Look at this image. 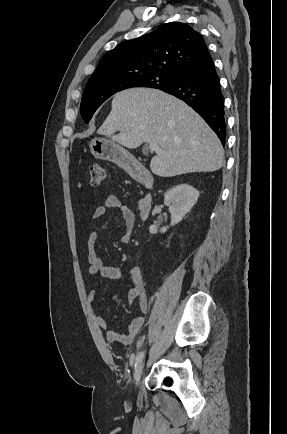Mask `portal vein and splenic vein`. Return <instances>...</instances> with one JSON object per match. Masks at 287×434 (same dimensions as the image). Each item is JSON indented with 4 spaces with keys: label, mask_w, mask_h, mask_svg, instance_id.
<instances>
[{
    "label": "portal vein and splenic vein",
    "mask_w": 287,
    "mask_h": 434,
    "mask_svg": "<svg viewBox=\"0 0 287 434\" xmlns=\"http://www.w3.org/2000/svg\"><path fill=\"white\" fill-rule=\"evenodd\" d=\"M148 149L151 152H160V148H159V146L156 143H149Z\"/></svg>",
    "instance_id": "obj_1"
}]
</instances>
